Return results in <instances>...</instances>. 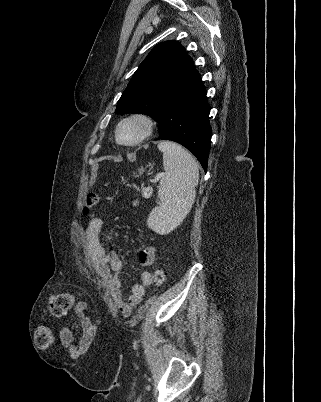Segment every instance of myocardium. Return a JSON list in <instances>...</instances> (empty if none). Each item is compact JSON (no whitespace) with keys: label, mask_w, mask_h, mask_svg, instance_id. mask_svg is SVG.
Listing matches in <instances>:
<instances>
[{"label":"myocardium","mask_w":321,"mask_h":402,"mask_svg":"<svg viewBox=\"0 0 321 402\" xmlns=\"http://www.w3.org/2000/svg\"><path fill=\"white\" fill-rule=\"evenodd\" d=\"M130 123H134V124H138L141 128L140 134L132 141L129 142H123L120 139V130L121 128L126 125V124H130ZM155 127V122L154 120L146 115V114H142V113H134V114H130L124 118H122L115 129V139L116 142L124 147H134L137 146L139 144H141L143 141H145L153 132Z\"/></svg>","instance_id":"1"}]
</instances>
